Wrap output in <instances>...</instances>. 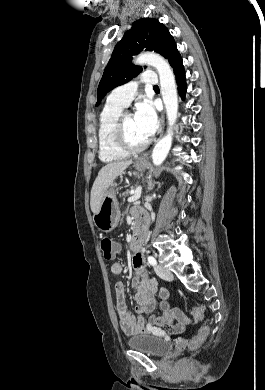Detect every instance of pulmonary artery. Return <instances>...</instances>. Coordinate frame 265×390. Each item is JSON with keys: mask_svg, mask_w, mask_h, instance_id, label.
Instances as JSON below:
<instances>
[{"mask_svg": "<svg viewBox=\"0 0 265 390\" xmlns=\"http://www.w3.org/2000/svg\"><path fill=\"white\" fill-rule=\"evenodd\" d=\"M141 81L148 85H156L158 83L157 75L153 70H147ZM139 81H131L123 86L116 88L107 98V102L121 106L123 108L127 107L133 100L138 86Z\"/></svg>", "mask_w": 265, "mask_h": 390, "instance_id": "pulmonary-artery-1", "label": "pulmonary artery"}]
</instances>
